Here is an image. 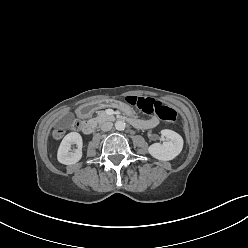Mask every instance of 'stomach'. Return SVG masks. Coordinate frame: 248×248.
Returning <instances> with one entry per match:
<instances>
[{
    "label": "stomach",
    "instance_id": "0dacf381",
    "mask_svg": "<svg viewBox=\"0 0 248 248\" xmlns=\"http://www.w3.org/2000/svg\"><path fill=\"white\" fill-rule=\"evenodd\" d=\"M105 106L116 107L117 109H119L121 113L125 114L130 120H133L135 118L134 111L131 108H129L127 105H123L119 100L95 101L89 106V109L91 111H94L97 108L105 107Z\"/></svg>",
    "mask_w": 248,
    "mask_h": 248
}]
</instances>
